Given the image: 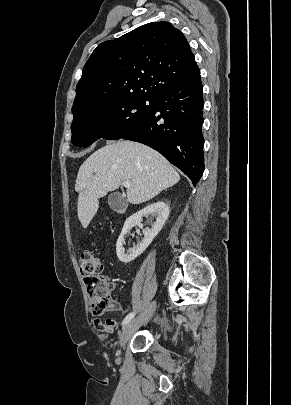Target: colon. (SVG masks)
<instances>
[{
	"label": "colon",
	"instance_id": "5ec220e1",
	"mask_svg": "<svg viewBox=\"0 0 291 405\" xmlns=\"http://www.w3.org/2000/svg\"><path fill=\"white\" fill-rule=\"evenodd\" d=\"M80 272L83 277L95 315H102L111 308V285L103 275V262L92 252L83 251L79 255Z\"/></svg>",
	"mask_w": 291,
	"mask_h": 405
}]
</instances>
